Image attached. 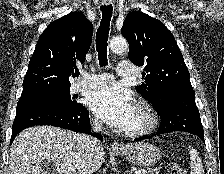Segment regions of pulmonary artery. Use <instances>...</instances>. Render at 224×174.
<instances>
[{
    "label": "pulmonary artery",
    "mask_w": 224,
    "mask_h": 174,
    "mask_svg": "<svg viewBox=\"0 0 224 174\" xmlns=\"http://www.w3.org/2000/svg\"><path fill=\"white\" fill-rule=\"evenodd\" d=\"M117 74L121 77H131L137 74V69L131 62L122 61L118 64ZM81 76L82 79L73 85V90L76 92L104 87L113 81V76L108 73L82 72Z\"/></svg>",
    "instance_id": "obj_1"
}]
</instances>
